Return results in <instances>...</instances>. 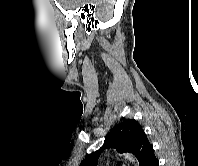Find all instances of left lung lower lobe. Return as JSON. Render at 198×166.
<instances>
[{
  "label": "left lung lower lobe",
  "instance_id": "left-lung-lower-lobe-1",
  "mask_svg": "<svg viewBox=\"0 0 198 166\" xmlns=\"http://www.w3.org/2000/svg\"><path fill=\"white\" fill-rule=\"evenodd\" d=\"M146 166H159V161L155 155H153Z\"/></svg>",
  "mask_w": 198,
  "mask_h": 166
}]
</instances>
